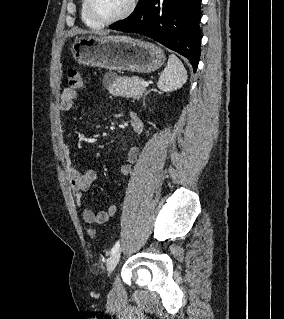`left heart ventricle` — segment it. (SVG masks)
Instances as JSON below:
<instances>
[{"label":"left heart ventricle","instance_id":"left-heart-ventricle-1","mask_svg":"<svg viewBox=\"0 0 284 319\" xmlns=\"http://www.w3.org/2000/svg\"><path fill=\"white\" fill-rule=\"evenodd\" d=\"M129 0H92L95 14L101 19H111L124 11Z\"/></svg>","mask_w":284,"mask_h":319}]
</instances>
